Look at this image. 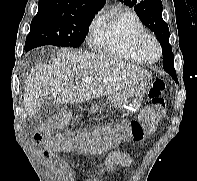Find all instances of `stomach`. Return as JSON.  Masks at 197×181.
<instances>
[{
    "label": "stomach",
    "instance_id": "obj_1",
    "mask_svg": "<svg viewBox=\"0 0 197 181\" xmlns=\"http://www.w3.org/2000/svg\"><path fill=\"white\" fill-rule=\"evenodd\" d=\"M147 85V81H141L128 89L108 95L107 101L112 105V107L127 112H135L141 106ZM97 110L98 106L93 105L91 112H96Z\"/></svg>",
    "mask_w": 197,
    "mask_h": 181
}]
</instances>
